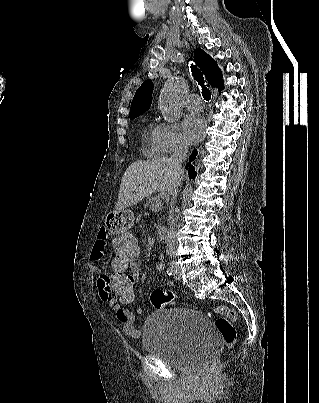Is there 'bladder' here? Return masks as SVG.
<instances>
[{"instance_id": "obj_1", "label": "bladder", "mask_w": 319, "mask_h": 403, "mask_svg": "<svg viewBox=\"0 0 319 403\" xmlns=\"http://www.w3.org/2000/svg\"><path fill=\"white\" fill-rule=\"evenodd\" d=\"M143 343L149 354L182 371L202 367L221 345L210 319L187 309L153 311L144 324Z\"/></svg>"}]
</instances>
